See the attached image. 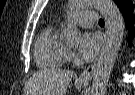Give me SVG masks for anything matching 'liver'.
Segmentation results:
<instances>
[{"mask_svg": "<svg viewBox=\"0 0 135 95\" xmlns=\"http://www.w3.org/2000/svg\"><path fill=\"white\" fill-rule=\"evenodd\" d=\"M73 75L72 71L55 68L37 72L26 82L25 93L27 95H64Z\"/></svg>", "mask_w": 135, "mask_h": 95, "instance_id": "6515ba94", "label": "liver"}]
</instances>
